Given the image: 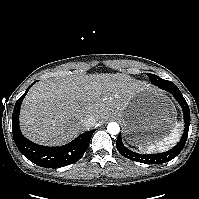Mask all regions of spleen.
<instances>
[{
    "label": "spleen",
    "instance_id": "1",
    "mask_svg": "<svg viewBox=\"0 0 199 199\" xmlns=\"http://www.w3.org/2000/svg\"><path fill=\"white\" fill-rule=\"evenodd\" d=\"M180 128L176 125L171 133L160 140L154 142L147 141L137 145L139 150L147 153L164 152L171 148L180 138Z\"/></svg>",
    "mask_w": 199,
    "mask_h": 199
}]
</instances>
